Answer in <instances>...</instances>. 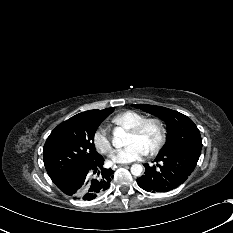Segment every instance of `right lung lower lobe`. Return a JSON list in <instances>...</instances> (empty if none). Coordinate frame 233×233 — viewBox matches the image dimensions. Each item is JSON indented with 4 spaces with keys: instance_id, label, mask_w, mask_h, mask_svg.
<instances>
[{
    "instance_id": "right-lung-lower-lobe-1",
    "label": "right lung lower lobe",
    "mask_w": 233,
    "mask_h": 233,
    "mask_svg": "<svg viewBox=\"0 0 233 233\" xmlns=\"http://www.w3.org/2000/svg\"><path fill=\"white\" fill-rule=\"evenodd\" d=\"M104 158L83 165L58 183L57 187L74 199L90 201L107 190L113 178L114 171L103 168Z\"/></svg>"
}]
</instances>
